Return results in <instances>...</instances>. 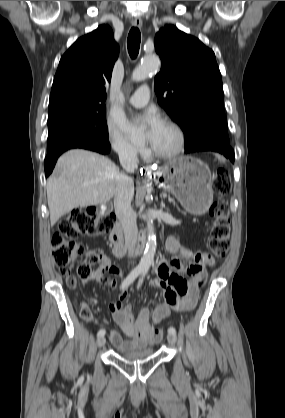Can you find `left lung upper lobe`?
Here are the masks:
<instances>
[{"label":"left lung upper lobe","mask_w":285,"mask_h":418,"mask_svg":"<svg viewBox=\"0 0 285 418\" xmlns=\"http://www.w3.org/2000/svg\"><path fill=\"white\" fill-rule=\"evenodd\" d=\"M154 43L161 58L154 80L158 103L184 131L185 149L202 143L230 145L214 52L173 25L160 29Z\"/></svg>","instance_id":"5c2ea615"}]
</instances>
